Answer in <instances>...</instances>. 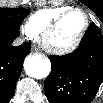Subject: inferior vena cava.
I'll return each mask as SVG.
<instances>
[{
	"mask_svg": "<svg viewBox=\"0 0 103 103\" xmlns=\"http://www.w3.org/2000/svg\"><path fill=\"white\" fill-rule=\"evenodd\" d=\"M22 42H23V39L17 38L14 42V45H20V44H22Z\"/></svg>",
	"mask_w": 103,
	"mask_h": 103,
	"instance_id": "602c4592",
	"label": "inferior vena cava"
}]
</instances>
